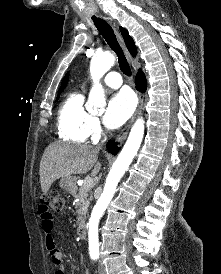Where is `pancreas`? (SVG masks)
Here are the masks:
<instances>
[{
	"label": "pancreas",
	"instance_id": "obj_1",
	"mask_svg": "<svg viewBox=\"0 0 221 274\" xmlns=\"http://www.w3.org/2000/svg\"><path fill=\"white\" fill-rule=\"evenodd\" d=\"M89 191L90 188H87L85 184H83V186L79 188L78 193L74 194L75 199L78 200L76 204V212L78 214L77 225L79 227H82L85 223L87 210L91 201V197H88Z\"/></svg>",
	"mask_w": 221,
	"mask_h": 274
}]
</instances>
